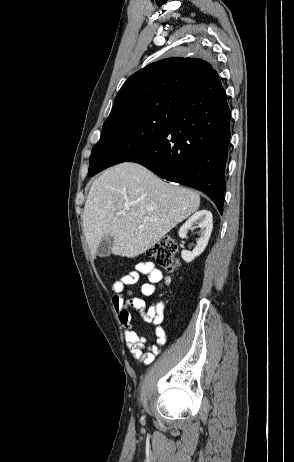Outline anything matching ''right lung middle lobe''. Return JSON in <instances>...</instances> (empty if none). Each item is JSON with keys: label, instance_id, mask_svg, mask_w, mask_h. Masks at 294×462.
Here are the masks:
<instances>
[{"label": "right lung middle lobe", "instance_id": "right-lung-middle-lobe-1", "mask_svg": "<svg viewBox=\"0 0 294 462\" xmlns=\"http://www.w3.org/2000/svg\"><path fill=\"white\" fill-rule=\"evenodd\" d=\"M198 53H203L196 48ZM186 98L169 93L112 112L103 124L99 142L91 158L99 172L124 162L145 142L162 131L183 107Z\"/></svg>", "mask_w": 294, "mask_h": 462}]
</instances>
